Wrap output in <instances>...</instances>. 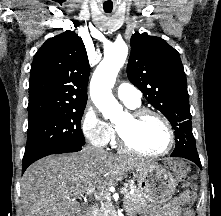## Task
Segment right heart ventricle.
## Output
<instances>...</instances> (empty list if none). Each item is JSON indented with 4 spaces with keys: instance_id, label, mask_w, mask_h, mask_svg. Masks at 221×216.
I'll return each instance as SVG.
<instances>
[{
    "instance_id": "e07e8e85",
    "label": "right heart ventricle",
    "mask_w": 221,
    "mask_h": 216,
    "mask_svg": "<svg viewBox=\"0 0 221 216\" xmlns=\"http://www.w3.org/2000/svg\"><path fill=\"white\" fill-rule=\"evenodd\" d=\"M129 108L131 109H135V108H138L139 107V104L138 105H128ZM112 127V126H111ZM110 142L113 146L116 145V138H115V128L112 127V135H111V139H110Z\"/></svg>"
}]
</instances>
